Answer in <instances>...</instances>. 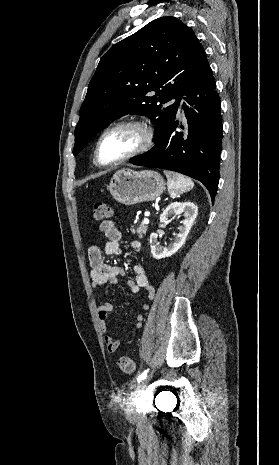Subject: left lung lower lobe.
<instances>
[{
  "mask_svg": "<svg viewBox=\"0 0 279 465\" xmlns=\"http://www.w3.org/2000/svg\"><path fill=\"white\" fill-rule=\"evenodd\" d=\"M183 96L187 129L175 132L178 121L174 120L151 150L130 162L197 179L208 189L213 201L219 178L223 125L221 102L206 53Z\"/></svg>",
  "mask_w": 279,
  "mask_h": 465,
  "instance_id": "0a47b994",
  "label": "left lung lower lobe"
}]
</instances>
